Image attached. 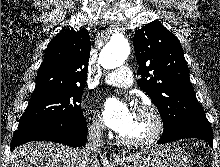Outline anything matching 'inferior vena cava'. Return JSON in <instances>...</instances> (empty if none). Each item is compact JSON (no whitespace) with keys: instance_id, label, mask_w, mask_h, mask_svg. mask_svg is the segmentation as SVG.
I'll use <instances>...</instances> for the list:
<instances>
[{"instance_id":"inferior-vena-cava-1","label":"inferior vena cava","mask_w":220,"mask_h":167,"mask_svg":"<svg viewBox=\"0 0 220 167\" xmlns=\"http://www.w3.org/2000/svg\"><path fill=\"white\" fill-rule=\"evenodd\" d=\"M103 129L104 125L101 122H95L88 128L87 143L80 150L82 167H89L97 159V154L103 147Z\"/></svg>"}]
</instances>
